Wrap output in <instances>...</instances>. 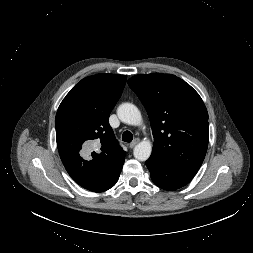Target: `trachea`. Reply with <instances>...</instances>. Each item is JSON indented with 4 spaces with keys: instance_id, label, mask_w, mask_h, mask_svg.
Returning <instances> with one entry per match:
<instances>
[{
    "instance_id": "1",
    "label": "trachea",
    "mask_w": 253,
    "mask_h": 253,
    "mask_svg": "<svg viewBox=\"0 0 253 253\" xmlns=\"http://www.w3.org/2000/svg\"><path fill=\"white\" fill-rule=\"evenodd\" d=\"M124 142H131L133 140V134L130 131H125L122 135Z\"/></svg>"
}]
</instances>
